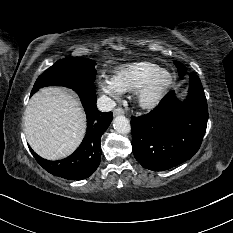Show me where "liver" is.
<instances>
[{
  "label": "liver",
  "instance_id": "liver-1",
  "mask_svg": "<svg viewBox=\"0 0 233 233\" xmlns=\"http://www.w3.org/2000/svg\"><path fill=\"white\" fill-rule=\"evenodd\" d=\"M24 131L41 157L58 160L70 155L86 132V116L69 90L45 87L32 96L25 110Z\"/></svg>",
  "mask_w": 233,
  "mask_h": 233
}]
</instances>
